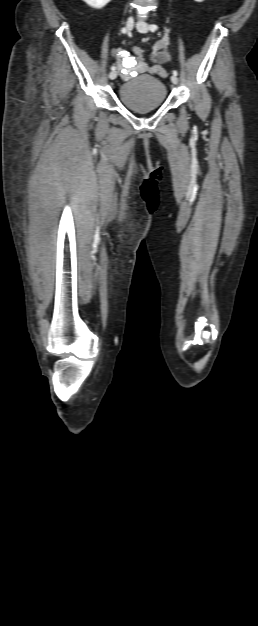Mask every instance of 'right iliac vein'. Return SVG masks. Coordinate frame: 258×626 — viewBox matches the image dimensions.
I'll list each match as a JSON object with an SVG mask.
<instances>
[{"label": "right iliac vein", "mask_w": 258, "mask_h": 626, "mask_svg": "<svg viewBox=\"0 0 258 626\" xmlns=\"http://www.w3.org/2000/svg\"><path fill=\"white\" fill-rule=\"evenodd\" d=\"M133 26H134V19L130 17L126 21V28L130 31L133 29ZM117 75H118L117 71L113 70L112 72L109 73V78L111 80H114L116 79Z\"/></svg>", "instance_id": "right-iliac-vein-1"}]
</instances>
